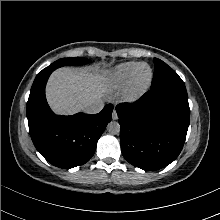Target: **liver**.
Returning a JSON list of instances; mask_svg holds the SVG:
<instances>
[{"label":"liver","mask_w":220,"mask_h":220,"mask_svg":"<svg viewBox=\"0 0 220 220\" xmlns=\"http://www.w3.org/2000/svg\"><path fill=\"white\" fill-rule=\"evenodd\" d=\"M104 80L95 68L62 67L55 70L46 86L51 109L61 115L84 111L89 102L100 99Z\"/></svg>","instance_id":"6515ba94"}]
</instances>
